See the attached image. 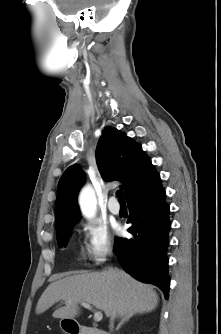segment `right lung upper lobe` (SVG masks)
I'll return each mask as SVG.
<instances>
[{
  "mask_svg": "<svg viewBox=\"0 0 221 334\" xmlns=\"http://www.w3.org/2000/svg\"><path fill=\"white\" fill-rule=\"evenodd\" d=\"M96 161L104 179L123 182L126 199L147 185L158 173L141 145L113 127L102 132L96 149ZM84 183L83 172L69 167L58 184L56 199V232L74 225L79 218L76 197Z\"/></svg>",
  "mask_w": 221,
  "mask_h": 334,
  "instance_id": "cb5924a9",
  "label": "right lung upper lobe"
}]
</instances>
